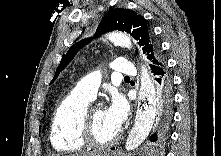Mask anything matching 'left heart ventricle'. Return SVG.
I'll return each instance as SVG.
<instances>
[{
  "label": "left heart ventricle",
  "instance_id": "left-heart-ventricle-1",
  "mask_svg": "<svg viewBox=\"0 0 221 156\" xmlns=\"http://www.w3.org/2000/svg\"><path fill=\"white\" fill-rule=\"evenodd\" d=\"M93 133L99 141H107L111 139L117 130L114 129L106 118L105 109L97 106L92 110Z\"/></svg>",
  "mask_w": 221,
  "mask_h": 156
}]
</instances>
